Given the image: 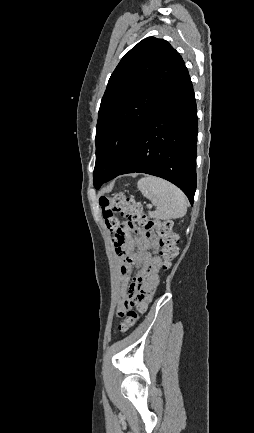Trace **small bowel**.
Masks as SVG:
<instances>
[{"mask_svg": "<svg viewBox=\"0 0 254 433\" xmlns=\"http://www.w3.org/2000/svg\"><path fill=\"white\" fill-rule=\"evenodd\" d=\"M134 247L137 252H134ZM138 267V272L129 282L133 267ZM161 259L156 255V245L150 233L139 234L134 241L126 242V253L118 256V277L123 285L121 307L129 296L147 303L156 292L160 281Z\"/></svg>", "mask_w": 254, "mask_h": 433, "instance_id": "1", "label": "small bowel"}]
</instances>
